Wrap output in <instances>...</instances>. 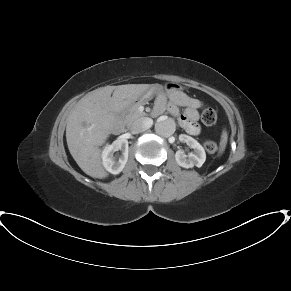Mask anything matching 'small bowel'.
Here are the masks:
<instances>
[{
    "mask_svg": "<svg viewBox=\"0 0 291 291\" xmlns=\"http://www.w3.org/2000/svg\"><path fill=\"white\" fill-rule=\"evenodd\" d=\"M202 106L203 103L200 100L194 99L181 91H173L168 96L158 97L155 111L161 113L166 110L170 115L177 118L187 134L197 136L200 134L201 128L196 121L198 109ZM179 107H186L185 112L181 113Z\"/></svg>",
    "mask_w": 291,
    "mask_h": 291,
    "instance_id": "obj_1",
    "label": "small bowel"
}]
</instances>
